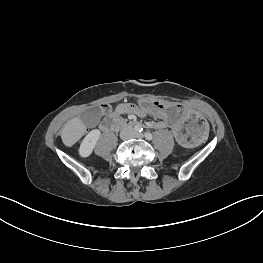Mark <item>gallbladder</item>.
I'll list each match as a JSON object with an SVG mask.
<instances>
[{
    "instance_id": "1",
    "label": "gallbladder",
    "mask_w": 263,
    "mask_h": 263,
    "mask_svg": "<svg viewBox=\"0 0 263 263\" xmlns=\"http://www.w3.org/2000/svg\"><path fill=\"white\" fill-rule=\"evenodd\" d=\"M102 115V110L99 106H93L84 110L81 118L87 126H95L99 123Z\"/></svg>"
}]
</instances>
